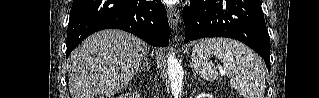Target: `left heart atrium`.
<instances>
[{
	"mask_svg": "<svg viewBox=\"0 0 319 98\" xmlns=\"http://www.w3.org/2000/svg\"><path fill=\"white\" fill-rule=\"evenodd\" d=\"M169 2H174V1H172V0H169Z\"/></svg>",
	"mask_w": 319,
	"mask_h": 98,
	"instance_id": "obj_1",
	"label": "left heart atrium"
}]
</instances>
